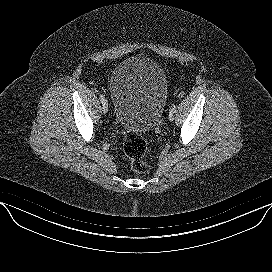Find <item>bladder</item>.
<instances>
[{"instance_id":"31cf9c89","label":"bladder","mask_w":272,"mask_h":272,"mask_svg":"<svg viewBox=\"0 0 272 272\" xmlns=\"http://www.w3.org/2000/svg\"><path fill=\"white\" fill-rule=\"evenodd\" d=\"M109 91L114 117L128 133L145 132L160 119L168 95L162 66L147 57H130L114 69Z\"/></svg>"}]
</instances>
